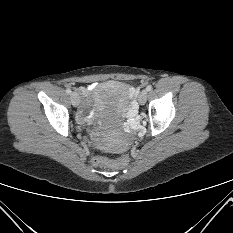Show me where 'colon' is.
I'll return each mask as SVG.
<instances>
[{
    "mask_svg": "<svg viewBox=\"0 0 233 233\" xmlns=\"http://www.w3.org/2000/svg\"><path fill=\"white\" fill-rule=\"evenodd\" d=\"M95 165L101 166V165H111V166H116L118 165L117 162L112 161L110 159H108L107 157H103V156H96L93 160Z\"/></svg>",
    "mask_w": 233,
    "mask_h": 233,
    "instance_id": "obj_1",
    "label": "colon"
}]
</instances>
